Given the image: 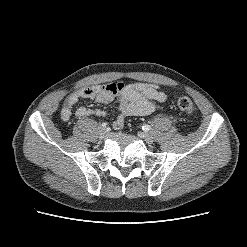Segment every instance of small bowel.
Instances as JSON below:
<instances>
[{
    "label": "small bowel",
    "mask_w": 247,
    "mask_h": 247,
    "mask_svg": "<svg viewBox=\"0 0 247 247\" xmlns=\"http://www.w3.org/2000/svg\"><path fill=\"white\" fill-rule=\"evenodd\" d=\"M80 99H90L101 104L114 103L118 115L112 122L114 129L122 128L124 120L130 116H147L161 107L167 100V95L157 85L146 83L125 84L123 82L105 85H93L80 88L64 101L61 109V119L67 122L73 113V108ZM75 114L77 117L106 116L101 109L79 107Z\"/></svg>",
    "instance_id": "1"
}]
</instances>
